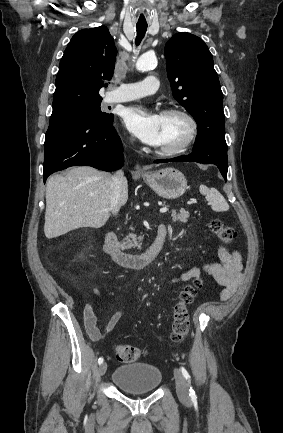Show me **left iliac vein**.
<instances>
[{"label": "left iliac vein", "mask_w": 283, "mask_h": 433, "mask_svg": "<svg viewBox=\"0 0 283 433\" xmlns=\"http://www.w3.org/2000/svg\"><path fill=\"white\" fill-rule=\"evenodd\" d=\"M174 378L176 382V390L178 397L185 403L189 404V388L183 374L178 370H174Z\"/></svg>", "instance_id": "4c4485c4"}]
</instances>
